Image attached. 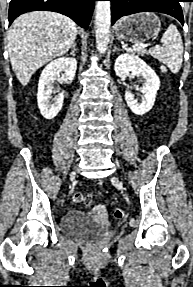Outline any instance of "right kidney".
I'll return each instance as SVG.
<instances>
[{
	"label": "right kidney",
	"instance_id": "obj_1",
	"mask_svg": "<svg viewBox=\"0 0 193 287\" xmlns=\"http://www.w3.org/2000/svg\"><path fill=\"white\" fill-rule=\"evenodd\" d=\"M76 69V59L67 57L55 59L43 69L38 84L37 102L44 118L53 119L57 116L64 102V96L60 94L56 97L55 103H50V96L53 93L52 83L61 73L66 79L73 80Z\"/></svg>",
	"mask_w": 193,
	"mask_h": 287
}]
</instances>
